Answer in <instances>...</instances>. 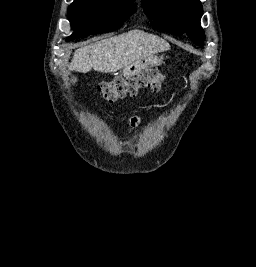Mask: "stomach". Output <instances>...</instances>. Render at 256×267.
Returning <instances> with one entry per match:
<instances>
[{
	"mask_svg": "<svg viewBox=\"0 0 256 267\" xmlns=\"http://www.w3.org/2000/svg\"><path fill=\"white\" fill-rule=\"evenodd\" d=\"M135 67H163V62H135Z\"/></svg>",
	"mask_w": 256,
	"mask_h": 267,
	"instance_id": "stomach-1",
	"label": "stomach"
}]
</instances>
